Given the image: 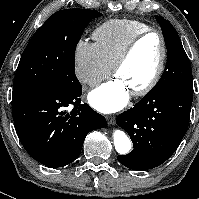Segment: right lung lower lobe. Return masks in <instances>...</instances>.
<instances>
[{"label": "right lung lower lobe", "mask_w": 199, "mask_h": 199, "mask_svg": "<svg viewBox=\"0 0 199 199\" xmlns=\"http://www.w3.org/2000/svg\"><path fill=\"white\" fill-rule=\"evenodd\" d=\"M82 86L59 87L12 107L17 135L29 155L48 167L78 158L86 135L106 125L104 116L81 104ZM67 107H72L67 111Z\"/></svg>", "instance_id": "obj_1"}]
</instances>
